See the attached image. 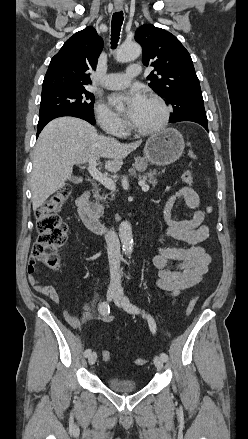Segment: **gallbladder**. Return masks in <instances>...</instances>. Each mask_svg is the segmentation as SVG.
Segmentation results:
<instances>
[{"label": "gallbladder", "mask_w": 248, "mask_h": 439, "mask_svg": "<svg viewBox=\"0 0 248 439\" xmlns=\"http://www.w3.org/2000/svg\"><path fill=\"white\" fill-rule=\"evenodd\" d=\"M73 182H76L77 181V178H72L71 179Z\"/></svg>", "instance_id": "gallbladder-1"}]
</instances>
